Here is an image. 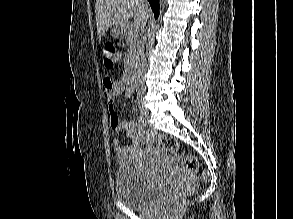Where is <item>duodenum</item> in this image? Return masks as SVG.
<instances>
[{
	"label": "duodenum",
	"mask_w": 293,
	"mask_h": 219,
	"mask_svg": "<svg viewBox=\"0 0 293 219\" xmlns=\"http://www.w3.org/2000/svg\"><path fill=\"white\" fill-rule=\"evenodd\" d=\"M126 83L129 85L135 87L137 82H136V73L135 69L130 67L127 71L126 77H125Z\"/></svg>",
	"instance_id": "duodenum-1"
}]
</instances>
